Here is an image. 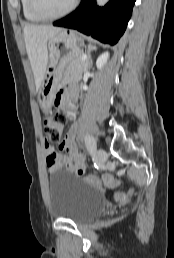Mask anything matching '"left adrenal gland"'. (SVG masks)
Wrapping results in <instances>:
<instances>
[{
    "instance_id": "obj_1",
    "label": "left adrenal gland",
    "mask_w": 174,
    "mask_h": 258,
    "mask_svg": "<svg viewBox=\"0 0 174 258\" xmlns=\"http://www.w3.org/2000/svg\"><path fill=\"white\" fill-rule=\"evenodd\" d=\"M96 47L89 45L88 46V51H87V56H88V67H90L92 65V58H91V51L95 50Z\"/></svg>"
}]
</instances>
